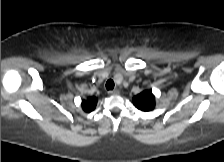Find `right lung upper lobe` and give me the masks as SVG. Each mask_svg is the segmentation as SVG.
I'll return each instance as SVG.
<instances>
[{
	"instance_id": "obj_1",
	"label": "right lung upper lobe",
	"mask_w": 224,
	"mask_h": 162,
	"mask_svg": "<svg viewBox=\"0 0 224 162\" xmlns=\"http://www.w3.org/2000/svg\"><path fill=\"white\" fill-rule=\"evenodd\" d=\"M97 104L96 97H89L87 100L82 101V108L85 112H91L95 109Z\"/></svg>"
}]
</instances>
